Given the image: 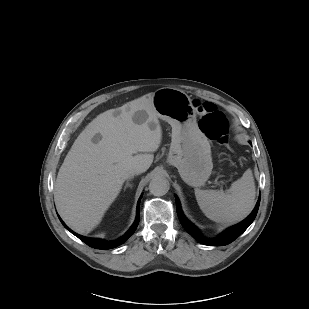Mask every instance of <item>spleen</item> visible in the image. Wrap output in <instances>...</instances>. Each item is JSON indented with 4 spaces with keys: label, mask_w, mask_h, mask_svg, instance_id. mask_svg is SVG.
Returning <instances> with one entry per match:
<instances>
[{
    "label": "spleen",
    "mask_w": 309,
    "mask_h": 309,
    "mask_svg": "<svg viewBox=\"0 0 309 309\" xmlns=\"http://www.w3.org/2000/svg\"><path fill=\"white\" fill-rule=\"evenodd\" d=\"M255 183L250 170L227 192L195 189L200 209L213 221L234 223L244 219L254 207Z\"/></svg>",
    "instance_id": "obj_1"
}]
</instances>
